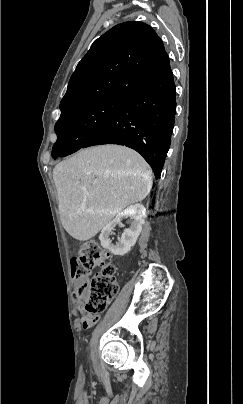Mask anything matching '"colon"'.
Returning a JSON list of instances; mask_svg holds the SVG:
<instances>
[{"mask_svg":"<svg viewBox=\"0 0 243 404\" xmlns=\"http://www.w3.org/2000/svg\"><path fill=\"white\" fill-rule=\"evenodd\" d=\"M96 267L101 270L90 276ZM72 272L74 298L83 301L88 315L103 312L117 292L115 267L109 262V254L96 242H85L80 246L78 257L72 260Z\"/></svg>","mask_w":243,"mask_h":404,"instance_id":"obj_1","label":"colon"}]
</instances>
